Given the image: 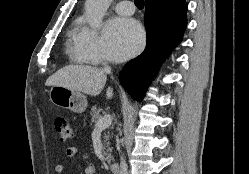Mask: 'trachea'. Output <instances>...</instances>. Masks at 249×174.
<instances>
[{"instance_id":"obj_1","label":"trachea","mask_w":249,"mask_h":174,"mask_svg":"<svg viewBox=\"0 0 249 174\" xmlns=\"http://www.w3.org/2000/svg\"><path fill=\"white\" fill-rule=\"evenodd\" d=\"M134 3L138 9L144 8V0H134Z\"/></svg>"}]
</instances>
